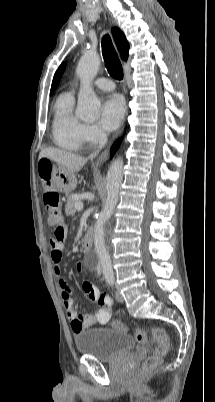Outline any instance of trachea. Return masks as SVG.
Here are the masks:
<instances>
[{
	"mask_svg": "<svg viewBox=\"0 0 215 402\" xmlns=\"http://www.w3.org/2000/svg\"><path fill=\"white\" fill-rule=\"evenodd\" d=\"M102 55L108 73L113 78L122 80L123 79L122 65L109 35H104L102 38Z\"/></svg>",
	"mask_w": 215,
	"mask_h": 402,
	"instance_id": "trachea-1",
	"label": "trachea"
}]
</instances>
